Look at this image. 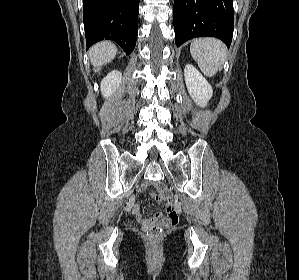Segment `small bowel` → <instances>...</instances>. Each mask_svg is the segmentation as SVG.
<instances>
[{"label":"small bowel","mask_w":299,"mask_h":280,"mask_svg":"<svg viewBox=\"0 0 299 280\" xmlns=\"http://www.w3.org/2000/svg\"><path fill=\"white\" fill-rule=\"evenodd\" d=\"M132 213H133L135 216L138 217L139 222L142 224V226H143L144 228H146V227L150 224V222H151V220H152V219H143V218H141V217L139 216V215H140V209H139V207H138L137 205H133V206H132Z\"/></svg>","instance_id":"1"}]
</instances>
